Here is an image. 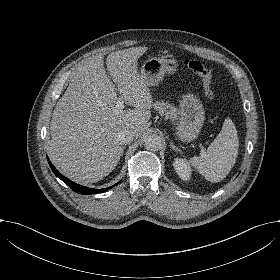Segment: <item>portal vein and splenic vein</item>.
I'll return each mask as SVG.
<instances>
[{
	"instance_id": "18ae733b",
	"label": "portal vein and splenic vein",
	"mask_w": 280,
	"mask_h": 280,
	"mask_svg": "<svg viewBox=\"0 0 280 280\" xmlns=\"http://www.w3.org/2000/svg\"><path fill=\"white\" fill-rule=\"evenodd\" d=\"M117 107H118L120 110L124 109V101H118Z\"/></svg>"
}]
</instances>
